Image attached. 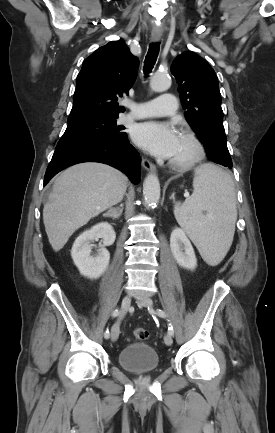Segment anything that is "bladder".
<instances>
[{
  "label": "bladder",
  "mask_w": 275,
  "mask_h": 433,
  "mask_svg": "<svg viewBox=\"0 0 275 433\" xmlns=\"http://www.w3.org/2000/svg\"><path fill=\"white\" fill-rule=\"evenodd\" d=\"M118 363L124 370L141 374L157 370L160 365L156 350L147 343L132 342L118 354Z\"/></svg>",
  "instance_id": "1"
}]
</instances>
